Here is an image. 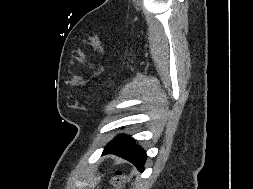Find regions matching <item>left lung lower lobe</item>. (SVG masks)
I'll return each mask as SVG.
<instances>
[{
    "label": "left lung lower lobe",
    "instance_id": "1",
    "mask_svg": "<svg viewBox=\"0 0 253 189\" xmlns=\"http://www.w3.org/2000/svg\"><path fill=\"white\" fill-rule=\"evenodd\" d=\"M104 154H115L132 162L138 170L143 172L146 161V152L134 143L130 136L119 135L104 149Z\"/></svg>",
    "mask_w": 253,
    "mask_h": 189
}]
</instances>
